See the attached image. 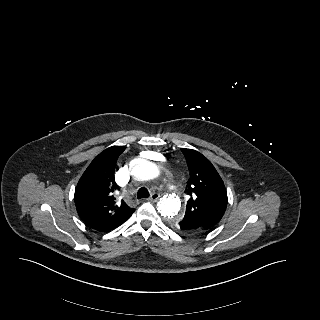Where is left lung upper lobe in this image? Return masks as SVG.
<instances>
[{"label":"left lung upper lobe","instance_id":"obj_1","mask_svg":"<svg viewBox=\"0 0 320 320\" xmlns=\"http://www.w3.org/2000/svg\"><path fill=\"white\" fill-rule=\"evenodd\" d=\"M190 178L186 212L179 221H189L203 231L213 228L225 213L228 199L224 183L212 163L196 150L182 148ZM173 223L177 228L178 222Z\"/></svg>","mask_w":320,"mask_h":320}]
</instances>
